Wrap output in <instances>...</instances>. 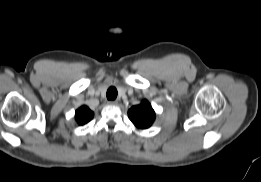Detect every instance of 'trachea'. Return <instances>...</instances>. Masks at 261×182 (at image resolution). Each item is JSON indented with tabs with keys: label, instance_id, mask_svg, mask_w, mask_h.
Masks as SVG:
<instances>
[{
	"label": "trachea",
	"instance_id": "3493384b",
	"mask_svg": "<svg viewBox=\"0 0 261 182\" xmlns=\"http://www.w3.org/2000/svg\"><path fill=\"white\" fill-rule=\"evenodd\" d=\"M117 89L115 87H110L107 90V99L108 100H115L117 97Z\"/></svg>",
	"mask_w": 261,
	"mask_h": 182
}]
</instances>
